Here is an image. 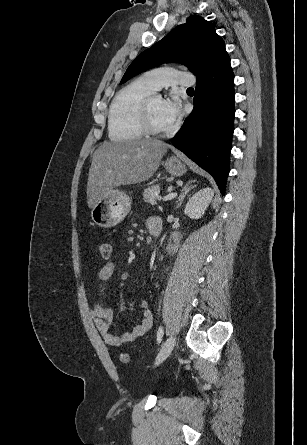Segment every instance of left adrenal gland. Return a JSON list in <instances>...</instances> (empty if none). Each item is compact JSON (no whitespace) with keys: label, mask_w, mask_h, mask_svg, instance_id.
Instances as JSON below:
<instances>
[{"label":"left adrenal gland","mask_w":307,"mask_h":445,"mask_svg":"<svg viewBox=\"0 0 307 445\" xmlns=\"http://www.w3.org/2000/svg\"><path fill=\"white\" fill-rule=\"evenodd\" d=\"M192 182H194V180H189V182H187V184H185V186H183V188L180 192V196L178 198L179 202H178L176 208H179V206H181V204L184 200V196H186L187 192H189V190H191V188H195V186H193Z\"/></svg>","instance_id":"1"}]
</instances>
